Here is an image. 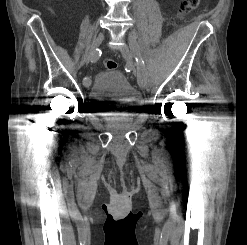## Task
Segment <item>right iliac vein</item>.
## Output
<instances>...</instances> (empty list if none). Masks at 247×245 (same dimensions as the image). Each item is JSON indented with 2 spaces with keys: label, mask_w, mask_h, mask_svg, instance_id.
<instances>
[{
  "label": "right iliac vein",
  "mask_w": 247,
  "mask_h": 245,
  "mask_svg": "<svg viewBox=\"0 0 247 245\" xmlns=\"http://www.w3.org/2000/svg\"><path fill=\"white\" fill-rule=\"evenodd\" d=\"M104 39V33L100 32L98 34V36L96 37V39L93 41L92 47H91V51H90V56H89V61H91L92 64H97L98 63V57H91V55L94 53V51H96V49H98V47L101 45L102 41ZM91 84V79L89 77H85L83 79V85L85 87H89Z\"/></svg>",
  "instance_id": "obj_1"
}]
</instances>
